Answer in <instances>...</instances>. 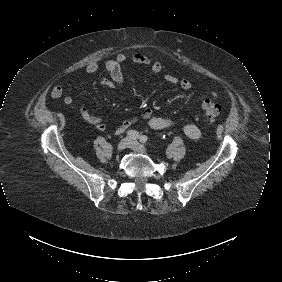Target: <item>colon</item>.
Wrapping results in <instances>:
<instances>
[{"instance_id": "obj_1", "label": "colon", "mask_w": 282, "mask_h": 282, "mask_svg": "<svg viewBox=\"0 0 282 282\" xmlns=\"http://www.w3.org/2000/svg\"><path fill=\"white\" fill-rule=\"evenodd\" d=\"M201 101H202V109L205 117L210 122L215 121L221 113L220 106L216 102L212 101L207 97H202Z\"/></svg>"}]
</instances>
